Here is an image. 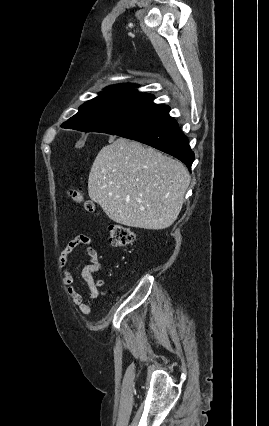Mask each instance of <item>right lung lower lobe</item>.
I'll use <instances>...</instances> for the list:
<instances>
[{"instance_id":"1","label":"right lung lower lobe","mask_w":269,"mask_h":426,"mask_svg":"<svg viewBox=\"0 0 269 426\" xmlns=\"http://www.w3.org/2000/svg\"><path fill=\"white\" fill-rule=\"evenodd\" d=\"M170 108L157 105L139 124L117 134L152 146L182 161L190 170L194 161L187 137L179 129L178 123L169 115ZM63 128H67L62 124Z\"/></svg>"}]
</instances>
